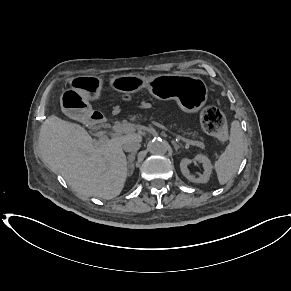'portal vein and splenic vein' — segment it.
<instances>
[{"mask_svg":"<svg viewBox=\"0 0 291 291\" xmlns=\"http://www.w3.org/2000/svg\"><path fill=\"white\" fill-rule=\"evenodd\" d=\"M153 125L161 128V129H164V130H167L169 131L164 125L156 122V121H153L152 122ZM112 130L116 133H119V134H122V133H133L135 131V126L133 124H121V123H118L116 125H114L112 127ZM178 138H181L179 135H177ZM107 139V135H104L102 137V140H106ZM183 140L189 144V145H193V146H198V147H201V148H204V144L202 142H199V141H193V140H190V139H185L183 138Z\"/></svg>","mask_w":291,"mask_h":291,"instance_id":"obj_1","label":"portal vein and splenic vein"}]
</instances>
